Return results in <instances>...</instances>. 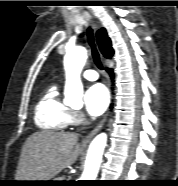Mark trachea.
<instances>
[{
  "label": "trachea",
  "mask_w": 178,
  "mask_h": 186,
  "mask_svg": "<svg viewBox=\"0 0 178 186\" xmlns=\"http://www.w3.org/2000/svg\"><path fill=\"white\" fill-rule=\"evenodd\" d=\"M87 38H88V43L92 50V56H93L94 63L100 70H103V64H102L99 52L95 44L93 30L90 27L87 28Z\"/></svg>",
  "instance_id": "obj_1"
}]
</instances>
